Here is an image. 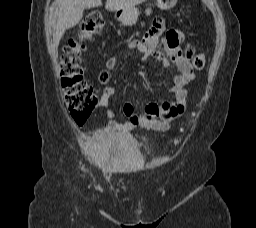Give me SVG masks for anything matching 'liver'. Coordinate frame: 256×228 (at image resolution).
Segmentation results:
<instances>
[{"label": "liver", "mask_w": 256, "mask_h": 228, "mask_svg": "<svg viewBox=\"0 0 256 228\" xmlns=\"http://www.w3.org/2000/svg\"><path fill=\"white\" fill-rule=\"evenodd\" d=\"M146 0H107L105 8L116 11L138 5ZM59 12L53 41L57 46L67 29L76 26L86 8L102 6L101 0H58Z\"/></svg>", "instance_id": "liver-1"}]
</instances>
